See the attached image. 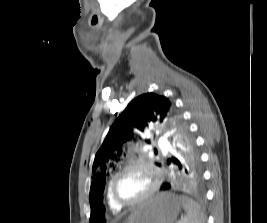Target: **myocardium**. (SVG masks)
Returning <instances> with one entry per match:
<instances>
[{
  "mask_svg": "<svg viewBox=\"0 0 267 223\" xmlns=\"http://www.w3.org/2000/svg\"><path fill=\"white\" fill-rule=\"evenodd\" d=\"M134 167L148 170L153 177V182L150 188L147 190V192H145L138 199L134 201H129V202L122 201L115 194L114 186H115L116 179L128 169L134 168ZM161 181H162V173L156 165H154L151 161L137 158V159L128 161L124 166H122L118 171H116L113 174V176L110 179L108 189H109V193H110L112 200L117 206L121 208H133L146 202L152 196H154L160 187Z\"/></svg>",
  "mask_w": 267,
  "mask_h": 223,
  "instance_id": "f54148a6",
  "label": "myocardium"
}]
</instances>
